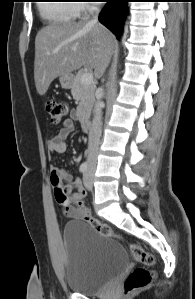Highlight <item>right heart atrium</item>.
<instances>
[{
  "label": "right heart atrium",
  "instance_id": "obj_1",
  "mask_svg": "<svg viewBox=\"0 0 195 299\" xmlns=\"http://www.w3.org/2000/svg\"><path fill=\"white\" fill-rule=\"evenodd\" d=\"M82 3H78L77 4V8H76V13L77 14H88L91 11V7H89V5L85 2L87 1H80Z\"/></svg>",
  "mask_w": 195,
  "mask_h": 299
}]
</instances>
